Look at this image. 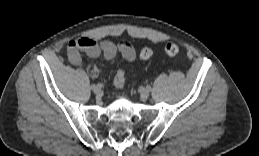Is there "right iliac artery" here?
<instances>
[{
  "mask_svg": "<svg viewBox=\"0 0 259 156\" xmlns=\"http://www.w3.org/2000/svg\"><path fill=\"white\" fill-rule=\"evenodd\" d=\"M93 87H95V85H92L91 88L93 89Z\"/></svg>",
  "mask_w": 259,
  "mask_h": 156,
  "instance_id": "obj_1",
  "label": "right iliac artery"
}]
</instances>
